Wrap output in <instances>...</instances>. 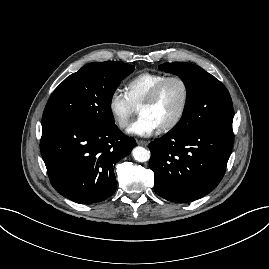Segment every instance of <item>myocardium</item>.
<instances>
[{"label":"myocardium","instance_id":"myocardium-1","mask_svg":"<svg viewBox=\"0 0 269 269\" xmlns=\"http://www.w3.org/2000/svg\"><path fill=\"white\" fill-rule=\"evenodd\" d=\"M172 81H177L182 85V88L184 91V99H183L181 109L178 112V114L176 115V117L168 124L159 128L161 132H168V131L173 130L183 120V118L187 112V109H188V106L190 103V96H191L190 86H189L188 82L183 77L178 76V75L168 76L165 79H163L162 81H160L158 84H156L151 89V91L148 93V95L145 97V99L139 105V108H141L143 106H149V105L153 104L156 101V99L158 98V96L161 93V91L163 90V88L169 82H172Z\"/></svg>","mask_w":269,"mask_h":269}]
</instances>
